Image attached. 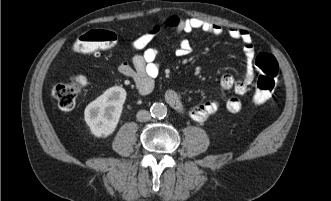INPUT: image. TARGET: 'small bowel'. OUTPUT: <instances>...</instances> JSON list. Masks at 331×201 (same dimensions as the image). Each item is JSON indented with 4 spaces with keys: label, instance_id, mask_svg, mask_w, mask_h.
Instances as JSON below:
<instances>
[{
    "label": "small bowel",
    "instance_id": "1",
    "mask_svg": "<svg viewBox=\"0 0 331 201\" xmlns=\"http://www.w3.org/2000/svg\"><path fill=\"white\" fill-rule=\"evenodd\" d=\"M165 25L174 29L177 34H189L193 31H201L206 34L221 35L226 33L230 38L244 43L245 71L244 76L236 80L229 73H224L220 79V86L223 90H233L236 95L231 96L225 103L226 109L231 113L241 110L242 103L239 96L246 94L249 86L254 80V46L252 36L249 31L238 28L224 29L218 24L209 23L198 18H182L171 16L166 19ZM160 27L156 26L137 37L132 42V47L138 51L131 61L121 63L118 67L119 72L132 79L137 91L141 95L149 94L154 87V79L160 71L158 62L159 51L157 48L149 47L151 40L157 35ZM191 52V45L185 38L179 41L174 50L177 57L187 56ZM167 103L179 112H187L191 119L197 122L206 120L209 116L216 113L221 103L218 100H207L190 108H186L180 95L174 89H167L165 92Z\"/></svg>",
    "mask_w": 331,
    "mask_h": 201
}]
</instances>
